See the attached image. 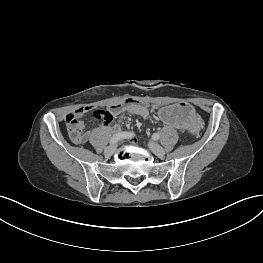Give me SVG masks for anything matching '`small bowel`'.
Listing matches in <instances>:
<instances>
[{"label":"small bowel","instance_id":"1","mask_svg":"<svg viewBox=\"0 0 263 263\" xmlns=\"http://www.w3.org/2000/svg\"><path fill=\"white\" fill-rule=\"evenodd\" d=\"M109 108L114 109L113 117L118 115L119 113H121L124 110H126L130 114H134V115H137L140 117H147L149 114V109L146 106L139 104V103H127V104L120 103V104L112 105ZM92 110H93L92 106H82V107H79L77 110H75L74 114L77 117H80V116L84 115L85 113H88ZM112 119L109 121H104L103 125L106 128H110Z\"/></svg>","mask_w":263,"mask_h":263}]
</instances>
